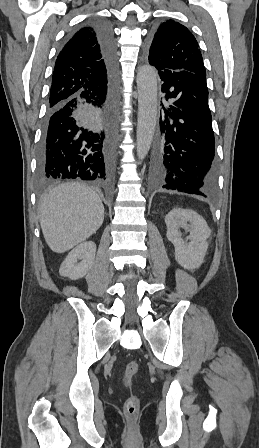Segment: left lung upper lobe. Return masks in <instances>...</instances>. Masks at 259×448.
Returning a JSON list of instances; mask_svg holds the SVG:
<instances>
[{
	"label": "left lung upper lobe",
	"instance_id": "left-lung-upper-lobe-1",
	"mask_svg": "<svg viewBox=\"0 0 259 448\" xmlns=\"http://www.w3.org/2000/svg\"><path fill=\"white\" fill-rule=\"evenodd\" d=\"M147 53L149 63L157 70H184L206 78L197 40L188 28L174 20L157 27Z\"/></svg>",
	"mask_w": 259,
	"mask_h": 448
}]
</instances>
